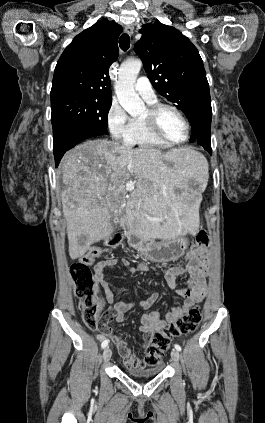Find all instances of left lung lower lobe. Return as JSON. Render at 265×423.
Segmentation results:
<instances>
[{
	"label": "left lung lower lobe",
	"instance_id": "obj_1",
	"mask_svg": "<svg viewBox=\"0 0 265 423\" xmlns=\"http://www.w3.org/2000/svg\"><path fill=\"white\" fill-rule=\"evenodd\" d=\"M194 142L203 146L204 149H206L210 154L212 153V149H211V117L204 120V122L201 125V129L197 133V136H196Z\"/></svg>",
	"mask_w": 265,
	"mask_h": 423
}]
</instances>
